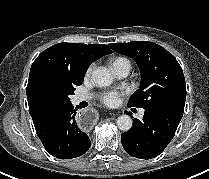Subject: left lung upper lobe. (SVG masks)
Returning <instances> with one entry per match:
<instances>
[{"instance_id":"left-lung-upper-lobe-1","label":"left lung upper lobe","mask_w":209,"mask_h":179,"mask_svg":"<svg viewBox=\"0 0 209 179\" xmlns=\"http://www.w3.org/2000/svg\"><path fill=\"white\" fill-rule=\"evenodd\" d=\"M109 46L133 58L141 70L140 87L131 95L128 106L147 108L156 105H185L186 84L182 68L165 48L145 41L114 43Z\"/></svg>"}]
</instances>
